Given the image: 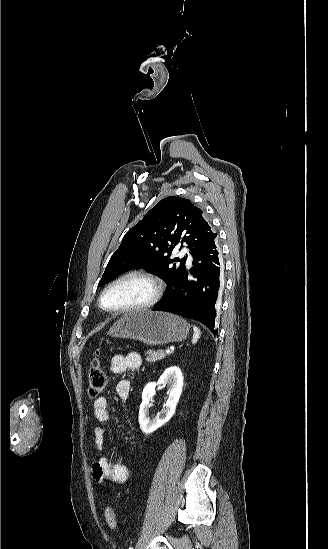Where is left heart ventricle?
Masks as SVG:
<instances>
[{
	"instance_id": "b2bd125f",
	"label": "left heart ventricle",
	"mask_w": 328,
	"mask_h": 549,
	"mask_svg": "<svg viewBox=\"0 0 328 549\" xmlns=\"http://www.w3.org/2000/svg\"><path fill=\"white\" fill-rule=\"evenodd\" d=\"M151 294L150 284L143 278L132 276L124 279L104 297L107 307L121 308L145 301Z\"/></svg>"
}]
</instances>
